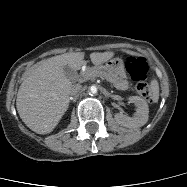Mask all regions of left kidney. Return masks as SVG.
<instances>
[{
    "mask_svg": "<svg viewBox=\"0 0 187 187\" xmlns=\"http://www.w3.org/2000/svg\"><path fill=\"white\" fill-rule=\"evenodd\" d=\"M130 103L136 106V112L133 117H127L123 114H116V122L122 126L129 128H137L143 126L148 120L149 108L146 101L138 96L128 98Z\"/></svg>",
    "mask_w": 187,
    "mask_h": 187,
    "instance_id": "1",
    "label": "left kidney"
}]
</instances>
